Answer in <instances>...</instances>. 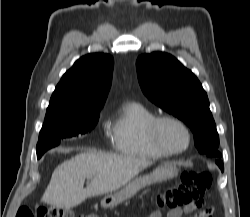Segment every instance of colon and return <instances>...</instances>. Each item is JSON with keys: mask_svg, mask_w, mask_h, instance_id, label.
<instances>
[{"mask_svg": "<svg viewBox=\"0 0 250 217\" xmlns=\"http://www.w3.org/2000/svg\"><path fill=\"white\" fill-rule=\"evenodd\" d=\"M212 182L210 173L205 171H184L179 182L169 187L158 198V204L171 210L193 206L199 208V213L211 209L204 208L202 197ZM16 217H75L74 214L59 208H40L32 211L27 207H20ZM79 217H97L96 214H87Z\"/></svg>", "mask_w": 250, "mask_h": 217, "instance_id": "5ec220e1", "label": "colon"}]
</instances>
